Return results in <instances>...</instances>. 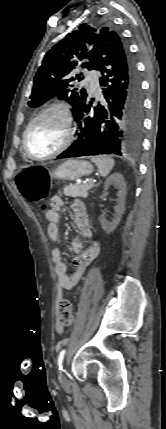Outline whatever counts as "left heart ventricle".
<instances>
[{
    "label": "left heart ventricle",
    "mask_w": 166,
    "mask_h": 429,
    "mask_svg": "<svg viewBox=\"0 0 166 429\" xmlns=\"http://www.w3.org/2000/svg\"><path fill=\"white\" fill-rule=\"evenodd\" d=\"M65 126L62 118L48 114L31 129L28 136V149L36 157H43L56 150L63 142Z\"/></svg>",
    "instance_id": "obj_1"
}]
</instances>
